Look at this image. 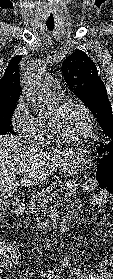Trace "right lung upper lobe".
Masks as SVG:
<instances>
[{"instance_id":"1","label":"right lung upper lobe","mask_w":113,"mask_h":279,"mask_svg":"<svg viewBox=\"0 0 113 279\" xmlns=\"http://www.w3.org/2000/svg\"><path fill=\"white\" fill-rule=\"evenodd\" d=\"M21 56L12 58L0 79V110L15 107L19 98L20 83L18 63Z\"/></svg>"}]
</instances>
